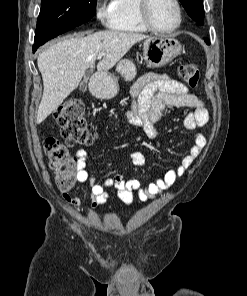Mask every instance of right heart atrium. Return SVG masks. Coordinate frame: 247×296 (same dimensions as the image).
I'll list each match as a JSON object with an SVG mask.
<instances>
[{"label": "right heart atrium", "instance_id": "1", "mask_svg": "<svg viewBox=\"0 0 247 296\" xmlns=\"http://www.w3.org/2000/svg\"><path fill=\"white\" fill-rule=\"evenodd\" d=\"M94 15L96 20L102 25H110L113 18V12L108 0H95Z\"/></svg>", "mask_w": 247, "mask_h": 296}]
</instances>
